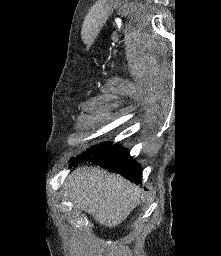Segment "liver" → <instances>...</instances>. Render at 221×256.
<instances>
[{"label":"liver","mask_w":221,"mask_h":256,"mask_svg":"<svg viewBox=\"0 0 221 256\" xmlns=\"http://www.w3.org/2000/svg\"><path fill=\"white\" fill-rule=\"evenodd\" d=\"M65 190L77 208L109 228L124 221L141 196L139 187L99 167L76 169Z\"/></svg>","instance_id":"1"}]
</instances>
